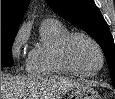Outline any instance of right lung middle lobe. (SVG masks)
<instances>
[{"label":"right lung middle lobe","instance_id":"1","mask_svg":"<svg viewBox=\"0 0 115 99\" xmlns=\"http://www.w3.org/2000/svg\"><path fill=\"white\" fill-rule=\"evenodd\" d=\"M17 33H1V67L13 66L12 44Z\"/></svg>","mask_w":115,"mask_h":99}]
</instances>
